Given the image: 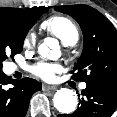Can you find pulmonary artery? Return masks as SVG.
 I'll return each instance as SVG.
<instances>
[{"instance_id":"e3ab8cb5","label":"pulmonary artery","mask_w":117,"mask_h":117,"mask_svg":"<svg viewBox=\"0 0 117 117\" xmlns=\"http://www.w3.org/2000/svg\"><path fill=\"white\" fill-rule=\"evenodd\" d=\"M13 69H15V66H13ZM86 86H87V85H86V83H84V82L80 84V88H81V89H85Z\"/></svg>"}]
</instances>
